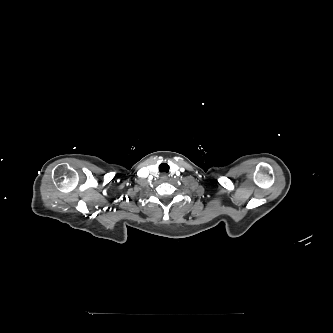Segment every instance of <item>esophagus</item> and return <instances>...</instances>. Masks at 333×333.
<instances>
[{
    "label": "esophagus",
    "instance_id": "34e87169",
    "mask_svg": "<svg viewBox=\"0 0 333 333\" xmlns=\"http://www.w3.org/2000/svg\"><path fill=\"white\" fill-rule=\"evenodd\" d=\"M167 178H168V177H167V175H166V174H162V175H161V180H162V181H166V180H167Z\"/></svg>",
    "mask_w": 333,
    "mask_h": 333
}]
</instances>
